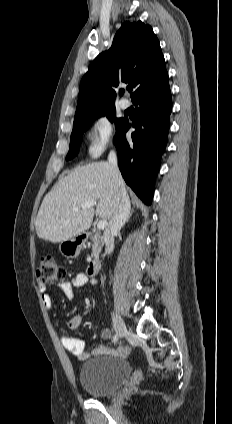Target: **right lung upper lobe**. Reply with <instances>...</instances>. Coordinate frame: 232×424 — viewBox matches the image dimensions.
Wrapping results in <instances>:
<instances>
[{
    "instance_id": "obj_1",
    "label": "right lung upper lobe",
    "mask_w": 232,
    "mask_h": 424,
    "mask_svg": "<svg viewBox=\"0 0 232 424\" xmlns=\"http://www.w3.org/2000/svg\"><path fill=\"white\" fill-rule=\"evenodd\" d=\"M166 72L160 44L150 25L141 21L122 24L111 48L99 54L80 82L75 119L115 106V88L129 82L132 101L152 88ZM123 90L119 91V95Z\"/></svg>"
}]
</instances>
